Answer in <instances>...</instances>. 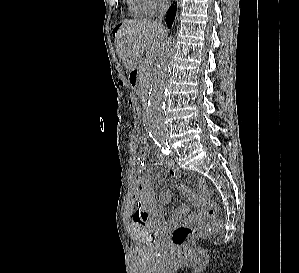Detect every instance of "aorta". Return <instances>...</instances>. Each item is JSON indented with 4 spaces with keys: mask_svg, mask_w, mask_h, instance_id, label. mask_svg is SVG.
Segmentation results:
<instances>
[{
    "mask_svg": "<svg viewBox=\"0 0 299 273\" xmlns=\"http://www.w3.org/2000/svg\"><path fill=\"white\" fill-rule=\"evenodd\" d=\"M175 54V44L168 41L163 47L161 56L155 69L148 103L144 112V127L154 141L167 140L169 123L165 111V89L170 77V66Z\"/></svg>",
    "mask_w": 299,
    "mask_h": 273,
    "instance_id": "1",
    "label": "aorta"
}]
</instances>
